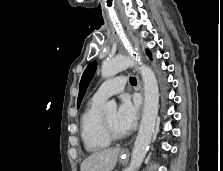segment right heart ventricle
Masks as SVG:
<instances>
[{
    "label": "right heart ventricle",
    "instance_id": "e07e8e85",
    "mask_svg": "<svg viewBox=\"0 0 223 171\" xmlns=\"http://www.w3.org/2000/svg\"><path fill=\"white\" fill-rule=\"evenodd\" d=\"M102 102V100L92 98L80 118V136L85 149L90 153L100 152L111 144L101 127L100 106Z\"/></svg>",
    "mask_w": 223,
    "mask_h": 171
}]
</instances>
